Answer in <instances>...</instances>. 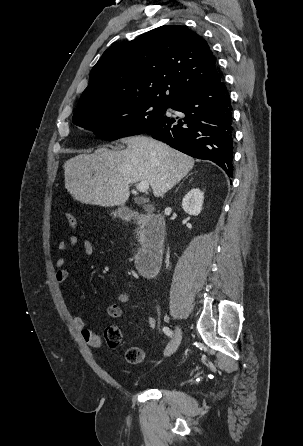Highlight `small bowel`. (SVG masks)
Instances as JSON below:
<instances>
[{"label":"small bowel","mask_w":303,"mask_h":446,"mask_svg":"<svg viewBox=\"0 0 303 446\" xmlns=\"http://www.w3.org/2000/svg\"><path fill=\"white\" fill-rule=\"evenodd\" d=\"M79 239L76 235H70L68 238L61 240L58 243V249L60 251H67L72 249L78 243ZM94 252L93 244L85 239L83 240V255L86 258L92 256ZM67 261L64 258H59L56 261L55 277L59 284L65 285L69 279V272L66 269ZM116 303L108 306L107 314L113 319H120L124 315L123 308L120 304H125L129 301V295L127 293H119L115 296ZM72 323L75 329L80 332L83 341L90 347L100 348L102 345L101 338L87 327V323L77 315L72 316ZM148 325L151 328L156 326V320L153 317L148 319Z\"/></svg>","instance_id":"1"}]
</instances>
